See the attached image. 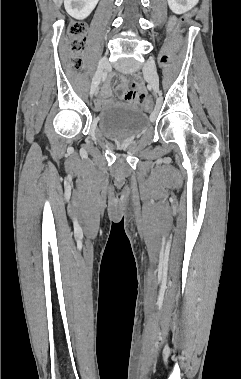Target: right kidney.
<instances>
[{"label":"right kidney","mask_w":241,"mask_h":379,"mask_svg":"<svg viewBox=\"0 0 241 379\" xmlns=\"http://www.w3.org/2000/svg\"><path fill=\"white\" fill-rule=\"evenodd\" d=\"M99 0H64L67 13L75 19L87 18L96 7Z\"/></svg>","instance_id":"right-kidney-1"}]
</instances>
